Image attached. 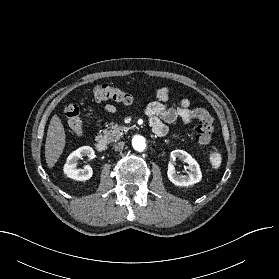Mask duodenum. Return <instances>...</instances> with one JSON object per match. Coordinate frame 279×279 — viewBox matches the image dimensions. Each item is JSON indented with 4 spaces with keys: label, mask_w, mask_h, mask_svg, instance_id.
I'll return each instance as SVG.
<instances>
[{
    "label": "duodenum",
    "mask_w": 279,
    "mask_h": 279,
    "mask_svg": "<svg viewBox=\"0 0 279 279\" xmlns=\"http://www.w3.org/2000/svg\"><path fill=\"white\" fill-rule=\"evenodd\" d=\"M95 148L98 152H104L107 149V144L103 139H99L95 142Z\"/></svg>",
    "instance_id": "410a0bca"
}]
</instances>
